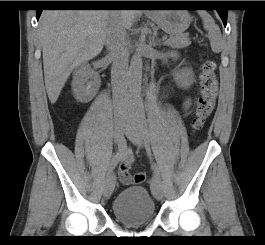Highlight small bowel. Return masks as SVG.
<instances>
[{
	"instance_id": "1",
	"label": "small bowel",
	"mask_w": 265,
	"mask_h": 245,
	"mask_svg": "<svg viewBox=\"0 0 265 245\" xmlns=\"http://www.w3.org/2000/svg\"><path fill=\"white\" fill-rule=\"evenodd\" d=\"M171 93V89L170 88H166L164 90V95L168 96ZM182 109L185 113H187L192 106V100L190 98H185L182 101ZM122 162L120 163V165L117 168V175L119 177V180L123 183V184H130L131 183V175H130V170L132 168V164L134 161L133 158V153L132 150L129 148H125L122 152V158H121Z\"/></svg>"
}]
</instances>
